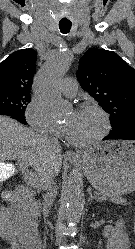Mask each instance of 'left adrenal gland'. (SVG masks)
Instances as JSON below:
<instances>
[{"label":"left adrenal gland","instance_id":"1","mask_svg":"<svg viewBox=\"0 0 135 249\" xmlns=\"http://www.w3.org/2000/svg\"><path fill=\"white\" fill-rule=\"evenodd\" d=\"M94 199L97 200V201H101L100 198L97 199L96 197H93V195L90 193V194H89L88 203H91V201L94 200Z\"/></svg>","mask_w":135,"mask_h":249}]
</instances>
